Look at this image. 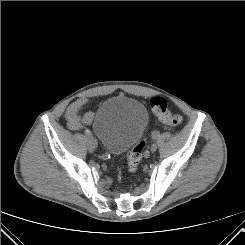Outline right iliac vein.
Here are the masks:
<instances>
[{
  "label": "right iliac vein",
  "instance_id": "obj_1",
  "mask_svg": "<svg viewBox=\"0 0 245 245\" xmlns=\"http://www.w3.org/2000/svg\"><path fill=\"white\" fill-rule=\"evenodd\" d=\"M92 137V136H91ZM94 140H96L94 137H93ZM87 145H88V150L89 152H93L94 149L96 148L95 147V143H92L89 138H87Z\"/></svg>",
  "mask_w": 245,
  "mask_h": 245
}]
</instances>
